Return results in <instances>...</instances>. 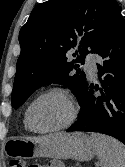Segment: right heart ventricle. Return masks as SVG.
Segmentation results:
<instances>
[{
  "label": "right heart ventricle",
  "mask_w": 125,
  "mask_h": 167,
  "mask_svg": "<svg viewBox=\"0 0 125 167\" xmlns=\"http://www.w3.org/2000/svg\"><path fill=\"white\" fill-rule=\"evenodd\" d=\"M24 126H25L26 128H28V127H27V123H26L25 116H24Z\"/></svg>",
  "instance_id": "1"
}]
</instances>
